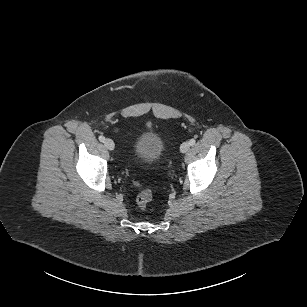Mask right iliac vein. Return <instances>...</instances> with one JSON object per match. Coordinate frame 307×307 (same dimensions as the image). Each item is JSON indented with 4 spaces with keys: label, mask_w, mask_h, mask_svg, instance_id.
<instances>
[{
    "label": "right iliac vein",
    "mask_w": 307,
    "mask_h": 307,
    "mask_svg": "<svg viewBox=\"0 0 307 307\" xmlns=\"http://www.w3.org/2000/svg\"><path fill=\"white\" fill-rule=\"evenodd\" d=\"M104 146L108 149V150H113L115 147L114 142L111 139H105L104 141Z\"/></svg>",
    "instance_id": "obj_1"
}]
</instances>
